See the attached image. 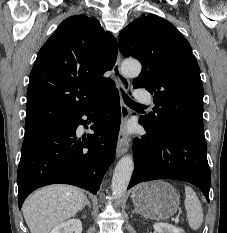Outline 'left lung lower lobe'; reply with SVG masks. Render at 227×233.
<instances>
[{"label": "left lung lower lobe", "instance_id": "1", "mask_svg": "<svg viewBox=\"0 0 227 233\" xmlns=\"http://www.w3.org/2000/svg\"><path fill=\"white\" fill-rule=\"evenodd\" d=\"M134 139L135 168L128 189L150 180L175 179L197 186L209 202L211 183L207 144L187 132L168 128L160 133L147 129Z\"/></svg>", "mask_w": 227, "mask_h": 233}]
</instances>
